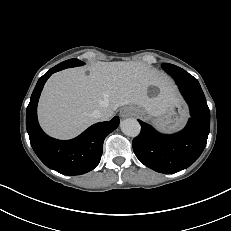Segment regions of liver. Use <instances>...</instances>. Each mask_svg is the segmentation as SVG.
<instances>
[{
	"label": "liver",
	"instance_id": "liver-1",
	"mask_svg": "<svg viewBox=\"0 0 231 231\" xmlns=\"http://www.w3.org/2000/svg\"><path fill=\"white\" fill-rule=\"evenodd\" d=\"M150 86L159 89L156 96H148ZM179 100L170 78L155 68L140 62H97L53 74L41 94L38 117L46 133L69 139L97 122L96 110L114 112L131 104L158 117Z\"/></svg>",
	"mask_w": 231,
	"mask_h": 231
}]
</instances>
